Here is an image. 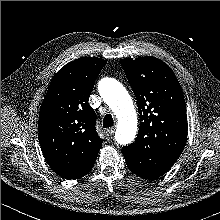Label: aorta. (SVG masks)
Wrapping results in <instances>:
<instances>
[{"label": "aorta", "instance_id": "762f6f07", "mask_svg": "<svg viewBox=\"0 0 220 220\" xmlns=\"http://www.w3.org/2000/svg\"><path fill=\"white\" fill-rule=\"evenodd\" d=\"M99 93L117 117L115 140L120 145L131 143L137 133V115L133 101L125 87L113 78L99 83Z\"/></svg>", "mask_w": 220, "mask_h": 220}]
</instances>
